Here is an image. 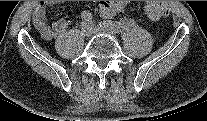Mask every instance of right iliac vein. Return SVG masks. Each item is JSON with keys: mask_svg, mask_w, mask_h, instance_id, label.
I'll return each instance as SVG.
<instances>
[{"mask_svg": "<svg viewBox=\"0 0 207 121\" xmlns=\"http://www.w3.org/2000/svg\"><path fill=\"white\" fill-rule=\"evenodd\" d=\"M81 29H82L83 34L86 37H90L92 35V33H93L92 26L89 23H86V22L82 23Z\"/></svg>", "mask_w": 207, "mask_h": 121, "instance_id": "1", "label": "right iliac vein"}]
</instances>
